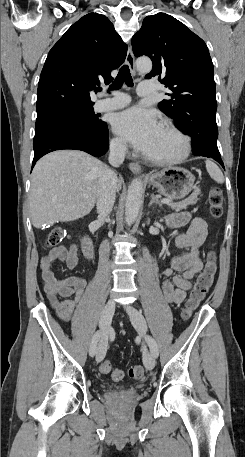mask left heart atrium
Returning a JSON list of instances; mask_svg holds the SVG:
<instances>
[{
    "label": "left heart atrium",
    "mask_w": 245,
    "mask_h": 457,
    "mask_svg": "<svg viewBox=\"0 0 245 457\" xmlns=\"http://www.w3.org/2000/svg\"><path fill=\"white\" fill-rule=\"evenodd\" d=\"M113 128L115 133L139 151H145L153 144L161 129L156 115L142 107H133L119 113Z\"/></svg>",
    "instance_id": "left-heart-atrium-1"
}]
</instances>
